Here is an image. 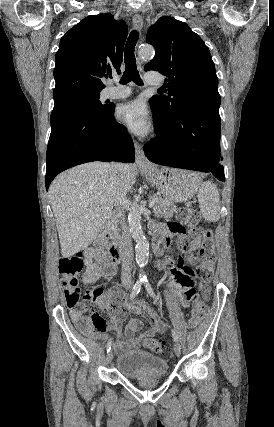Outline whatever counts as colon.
Instances as JSON below:
<instances>
[{
	"mask_svg": "<svg viewBox=\"0 0 274 427\" xmlns=\"http://www.w3.org/2000/svg\"><path fill=\"white\" fill-rule=\"evenodd\" d=\"M178 222L173 225L176 248H190V243L193 240L200 242L199 248H215L212 232L207 228H197L199 215L196 210L190 206H184L177 211ZM189 232L190 238L184 235ZM171 253V252H170ZM83 269V258L81 253L65 255L59 259L58 272L62 277V286L64 300L69 309L77 308L82 302L96 301L103 294L104 289L101 286H96L91 289H82L78 283V275ZM190 311L195 316L193 318H207L209 312L205 305H199L198 301L190 304ZM191 328L199 329L200 321L191 320ZM141 350H149L161 355L162 358L168 357V352L165 351L161 341L151 338H144L140 342Z\"/></svg>",
	"mask_w": 274,
	"mask_h": 427,
	"instance_id": "1",
	"label": "colon"
}]
</instances>
